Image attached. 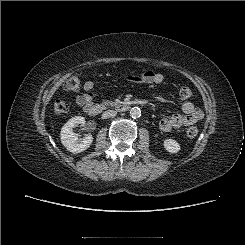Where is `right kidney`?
Here are the masks:
<instances>
[{"label": "right kidney", "mask_w": 245, "mask_h": 245, "mask_svg": "<svg viewBox=\"0 0 245 245\" xmlns=\"http://www.w3.org/2000/svg\"><path fill=\"white\" fill-rule=\"evenodd\" d=\"M79 124L84 125L85 119L81 116L72 117L61 129V143L64 147L73 154L85 151L93 142L92 135L79 139L78 134L73 132V128Z\"/></svg>", "instance_id": "ca27d5eb"}]
</instances>
